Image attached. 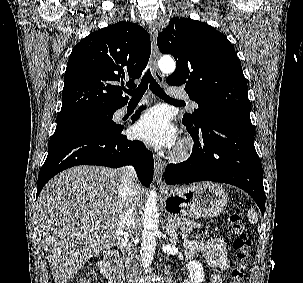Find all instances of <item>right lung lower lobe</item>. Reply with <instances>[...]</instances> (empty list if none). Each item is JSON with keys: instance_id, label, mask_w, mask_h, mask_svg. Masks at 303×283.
<instances>
[{"instance_id": "right-lung-lower-lobe-1", "label": "right lung lower lobe", "mask_w": 303, "mask_h": 283, "mask_svg": "<svg viewBox=\"0 0 303 283\" xmlns=\"http://www.w3.org/2000/svg\"><path fill=\"white\" fill-rule=\"evenodd\" d=\"M122 130L123 126L109 132L86 129L54 132L39 172L36 197L53 176L77 165L111 168L133 165L140 182L148 187L153 179V154L140 141H129Z\"/></svg>"}]
</instances>
